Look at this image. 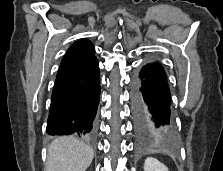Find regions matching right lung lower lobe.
<instances>
[{"label":"right lung lower lobe","instance_id":"98d812e1","mask_svg":"<svg viewBox=\"0 0 223 171\" xmlns=\"http://www.w3.org/2000/svg\"><path fill=\"white\" fill-rule=\"evenodd\" d=\"M100 101V70L95 58L57 75L47 121L49 135L73 134L92 141Z\"/></svg>","mask_w":223,"mask_h":171}]
</instances>
